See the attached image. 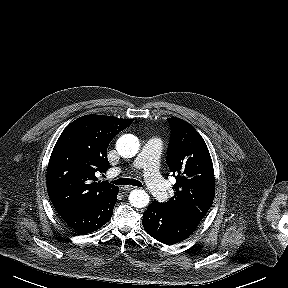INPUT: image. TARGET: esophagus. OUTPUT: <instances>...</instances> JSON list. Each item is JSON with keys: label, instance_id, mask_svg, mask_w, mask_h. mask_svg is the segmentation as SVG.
<instances>
[{"label": "esophagus", "instance_id": "obj_1", "mask_svg": "<svg viewBox=\"0 0 288 288\" xmlns=\"http://www.w3.org/2000/svg\"><path fill=\"white\" fill-rule=\"evenodd\" d=\"M137 187H134V186H125V187H123V190H125V191H131V190H134V189H136Z\"/></svg>", "mask_w": 288, "mask_h": 288}]
</instances>
